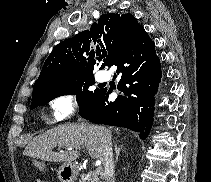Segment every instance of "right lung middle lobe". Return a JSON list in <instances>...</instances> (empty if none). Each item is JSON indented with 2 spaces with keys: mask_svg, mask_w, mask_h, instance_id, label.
Segmentation results:
<instances>
[{
  "mask_svg": "<svg viewBox=\"0 0 211 182\" xmlns=\"http://www.w3.org/2000/svg\"><path fill=\"white\" fill-rule=\"evenodd\" d=\"M94 84L95 80L93 74H90L71 81L44 86L32 94L30 109H34L39 105H45L54 98L63 95H76L78 105L82 106L99 90L91 89Z\"/></svg>",
  "mask_w": 211,
  "mask_h": 182,
  "instance_id": "1",
  "label": "right lung middle lobe"
}]
</instances>
